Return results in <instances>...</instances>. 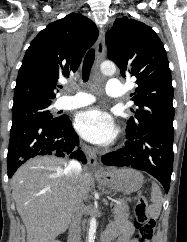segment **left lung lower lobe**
<instances>
[{
    "instance_id": "obj_1",
    "label": "left lung lower lobe",
    "mask_w": 187,
    "mask_h": 242,
    "mask_svg": "<svg viewBox=\"0 0 187 242\" xmlns=\"http://www.w3.org/2000/svg\"><path fill=\"white\" fill-rule=\"evenodd\" d=\"M127 139L125 147L104 155L102 162L146 171L160 181L167 193L174 159V132L154 131L135 138L127 136Z\"/></svg>"
}]
</instances>
